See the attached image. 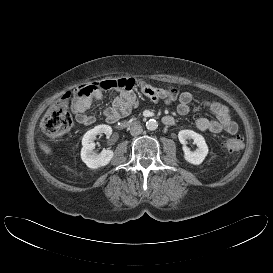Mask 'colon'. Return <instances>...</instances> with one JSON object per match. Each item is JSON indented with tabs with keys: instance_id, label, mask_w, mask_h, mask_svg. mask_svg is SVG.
Wrapping results in <instances>:
<instances>
[{
	"instance_id": "1",
	"label": "colon",
	"mask_w": 273,
	"mask_h": 273,
	"mask_svg": "<svg viewBox=\"0 0 273 273\" xmlns=\"http://www.w3.org/2000/svg\"><path fill=\"white\" fill-rule=\"evenodd\" d=\"M135 85L136 81L133 78H119L79 86L73 93H65L49 106L42 119V130L50 138L61 137L70 130L72 117L69 111V103L73 97L74 99H86L98 92L109 89L132 90ZM166 92L171 98L176 97L178 94L175 87L168 88ZM223 146L229 152H238L244 147V143L239 136H236L227 138Z\"/></svg>"
}]
</instances>
